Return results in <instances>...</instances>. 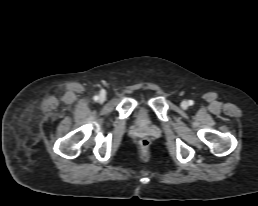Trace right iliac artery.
<instances>
[{"label":"right iliac artery","instance_id":"right-iliac-artery-1","mask_svg":"<svg viewBox=\"0 0 258 206\" xmlns=\"http://www.w3.org/2000/svg\"><path fill=\"white\" fill-rule=\"evenodd\" d=\"M95 101H97L98 100V96H94V98H93Z\"/></svg>","mask_w":258,"mask_h":206}]
</instances>
